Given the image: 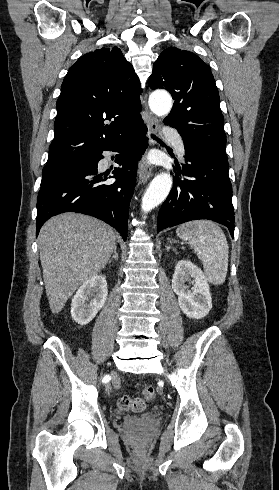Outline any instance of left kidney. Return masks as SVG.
<instances>
[{
  "label": "left kidney",
  "mask_w": 279,
  "mask_h": 490,
  "mask_svg": "<svg viewBox=\"0 0 279 490\" xmlns=\"http://www.w3.org/2000/svg\"><path fill=\"white\" fill-rule=\"evenodd\" d=\"M185 282H191L193 288L185 286ZM172 290L177 294L181 312L186 314L187 318L202 320L209 314L212 308L209 284L202 270L192 262L180 260L176 264L172 278Z\"/></svg>",
  "instance_id": "left-kidney-1"
}]
</instances>
